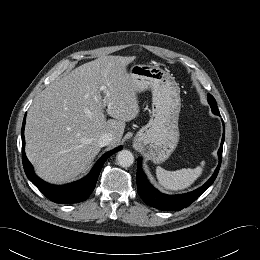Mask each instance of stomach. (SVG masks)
I'll use <instances>...</instances> for the list:
<instances>
[{"mask_svg": "<svg viewBox=\"0 0 260 260\" xmlns=\"http://www.w3.org/2000/svg\"><path fill=\"white\" fill-rule=\"evenodd\" d=\"M129 76L136 93L152 91L151 118L134 141L150 160L162 163L179 142L180 88L172 75L156 65H133Z\"/></svg>", "mask_w": 260, "mask_h": 260, "instance_id": "stomach-1", "label": "stomach"}]
</instances>
